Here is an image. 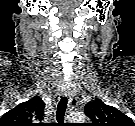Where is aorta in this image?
<instances>
[{
  "label": "aorta",
  "mask_w": 135,
  "mask_h": 126,
  "mask_svg": "<svg viewBox=\"0 0 135 126\" xmlns=\"http://www.w3.org/2000/svg\"><path fill=\"white\" fill-rule=\"evenodd\" d=\"M70 120L82 122L85 120V116L83 114H74L70 116Z\"/></svg>",
  "instance_id": "762f6f07"
}]
</instances>
